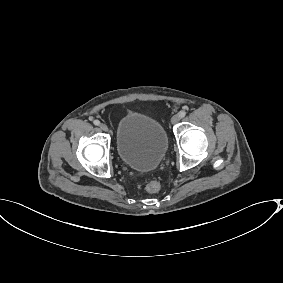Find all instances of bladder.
<instances>
[{
    "label": "bladder",
    "instance_id": "obj_1",
    "mask_svg": "<svg viewBox=\"0 0 283 283\" xmlns=\"http://www.w3.org/2000/svg\"><path fill=\"white\" fill-rule=\"evenodd\" d=\"M168 135L163 125L149 115L128 112L115 130V147L121 161L132 169L156 168L168 150Z\"/></svg>",
    "mask_w": 283,
    "mask_h": 283
}]
</instances>
